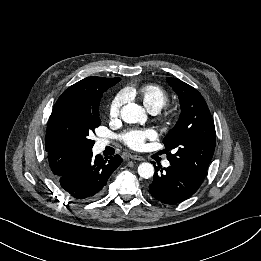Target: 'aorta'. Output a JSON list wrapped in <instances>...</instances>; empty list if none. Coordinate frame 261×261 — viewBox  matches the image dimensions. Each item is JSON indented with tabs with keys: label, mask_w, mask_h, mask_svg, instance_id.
I'll use <instances>...</instances> for the list:
<instances>
[{
	"label": "aorta",
	"mask_w": 261,
	"mask_h": 261,
	"mask_svg": "<svg viewBox=\"0 0 261 261\" xmlns=\"http://www.w3.org/2000/svg\"><path fill=\"white\" fill-rule=\"evenodd\" d=\"M121 117L126 123H141L144 124L147 120L144 108L135 104L129 103L121 109ZM140 177L149 179L154 175V167L150 163H141L138 167Z\"/></svg>",
	"instance_id": "aorta-1"
}]
</instances>
